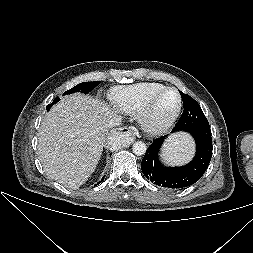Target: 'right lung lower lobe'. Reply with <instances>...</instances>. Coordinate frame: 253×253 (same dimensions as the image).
Instances as JSON below:
<instances>
[{"mask_svg":"<svg viewBox=\"0 0 253 253\" xmlns=\"http://www.w3.org/2000/svg\"><path fill=\"white\" fill-rule=\"evenodd\" d=\"M104 177H105V176H104ZM104 177L101 179V181H99V182L97 183V185L100 184V183L104 180Z\"/></svg>","mask_w":253,"mask_h":253,"instance_id":"1","label":"right lung lower lobe"}]
</instances>
